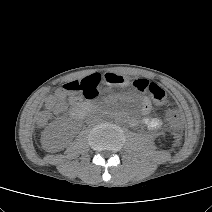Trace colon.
I'll use <instances>...</instances> for the list:
<instances>
[{"label":"colon","mask_w":212,"mask_h":212,"mask_svg":"<svg viewBox=\"0 0 212 212\" xmlns=\"http://www.w3.org/2000/svg\"><path fill=\"white\" fill-rule=\"evenodd\" d=\"M102 76L100 74H91L80 80H74L63 86V92H67L74 96H82L86 99H94L98 96L102 84ZM133 86L139 91L148 92L153 100L159 105H168V98L165 90L158 84L149 82L146 79H137L133 82ZM62 92V93H63ZM171 122L177 126L181 120V113L178 109H172L169 112ZM49 120V113L42 111L37 117V123L43 126Z\"/></svg>","instance_id":"colon-1"}]
</instances>
